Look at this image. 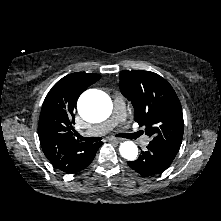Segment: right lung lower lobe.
Masks as SVG:
<instances>
[{
    "label": "right lung lower lobe",
    "mask_w": 221,
    "mask_h": 221,
    "mask_svg": "<svg viewBox=\"0 0 221 221\" xmlns=\"http://www.w3.org/2000/svg\"><path fill=\"white\" fill-rule=\"evenodd\" d=\"M103 143L102 142H98V143H95L92 145V147L90 148L89 152L86 154V156L84 157L81 165L72 173H75V172H78V171H81L82 169L86 168L93 160L95 154H96V151L98 150V148L102 145Z\"/></svg>",
    "instance_id": "98d812e1"
}]
</instances>
